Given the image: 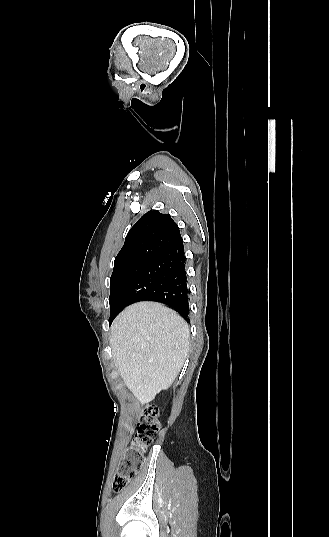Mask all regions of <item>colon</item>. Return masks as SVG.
I'll return each mask as SVG.
<instances>
[{"label":"colon","mask_w":329,"mask_h":537,"mask_svg":"<svg viewBox=\"0 0 329 537\" xmlns=\"http://www.w3.org/2000/svg\"><path fill=\"white\" fill-rule=\"evenodd\" d=\"M160 427L157 408L153 405L147 406L143 418L137 424V432L128 444L113 477L112 489L115 493L123 491L134 480Z\"/></svg>","instance_id":"colon-1"}]
</instances>
